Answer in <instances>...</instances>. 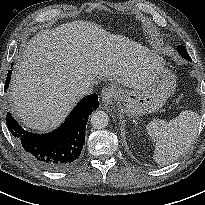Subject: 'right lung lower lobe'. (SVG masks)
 <instances>
[{"label":"right lung lower lobe","instance_id":"obj_1","mask_svg":"<svg viewBox=\"0 0 205 205\" xmlns=\"http://www.w3.org/2000/svg\"><path fill=\"white\" fill-rule=\"evenodd\" d=\"M10 78L11 70L6 80L10 81ZM6 87L8 88L7 81L5 89ZM98 107V96H87L75 106L57 130L43 135L23 130L10 113L6 115V124L32 161L44 169L60 171L71 167L80 156L88 117Z\"/></svg>","mask_w":205,"mask_h":205}]
</instances>
